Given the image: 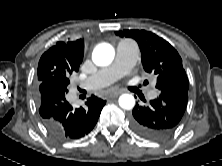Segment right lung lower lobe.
Instances as JSON below:
<instances>
[{
  "instance_id": "98d812e1",
  "label": "right lung lower lobe",
  "mask_w": 222,
  "mask_h": 166,
  "mask_svg": "<svg viewBox=\"0 0 222 166\" xmlns=\"http://www.w3.org/2000/svg\"><path fill=\"white\" fill-rule=\"evenodd\" d=\"M68 93L55 81L39 82L36 101L43 125L57 140L79 139L97 123L106 101L92 95L84 107L73 108L66 100Z\"/></svg>"
}]
</instances>
